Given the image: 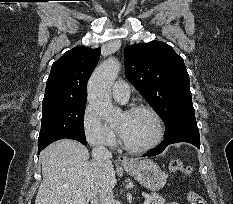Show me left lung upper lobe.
<instances>
[{
	"instance_id": "5c2ea615",
	"label": "left lung upper lobe",
	"mask_w": 233,
	"mask_h": 204,
	"mask_svg": "<svg viewBox=\"0 0 233 204\" xmlns=\"http://www.w3.org/2000/svg\"><path fill=\"white\" fill-rule=\"evenodd\" d=\"M126 78L164 120L165 136L181 129H198L183 58L160 41L125 48Z\"/></svg>"
}]
</instances>
